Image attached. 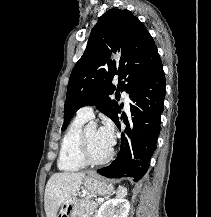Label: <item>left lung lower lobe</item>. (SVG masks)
Wrapping results in <instances>:
<instances>
[{"label": "left lung lower lobe", "instance_id": "0a47b994", "mask_svg": "<svg viewBox=\"0 0 211 217\" xmlns=\"http://www.w3.org/2000/svg\"><path fill=\"white\" fill-rule=\"evenodd\" d=\"M165 75L160 65L132 89L130 111L132 122L121 135V148L116 159L98 173L108 178L130 177L139 181L147 172L160 129L164 108ZM120 129V122H115Z\"/></svg>", "mask_w": 211, "mask_h": 217}]
</instances>
